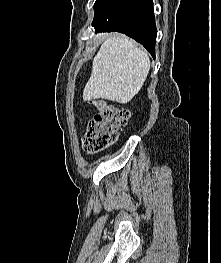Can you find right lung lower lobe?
I'll return each mask as SVG.
<instances>
[{"label": "right lung lower lobe", "mask_w": 221, "mask_h": 263, "mask_svg": "<svg viewBox=\"0 0 221 263\" xmlns=\"http://www.w3.org/2000/svg\"><path fill=\"white\" fill-rule=\"evenodd\" d=\"M92 26L96 32L124 33L155 57L157 30L152 0H112L94 17Z\"/></svg>", "instance_id": "right-lung-lower-lobe-1"}]
</instances>
